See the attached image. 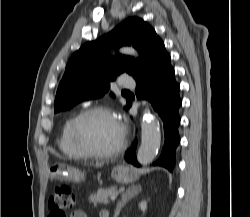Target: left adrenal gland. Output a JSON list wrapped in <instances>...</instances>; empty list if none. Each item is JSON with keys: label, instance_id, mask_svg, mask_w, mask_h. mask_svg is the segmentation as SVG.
Segmentation results:
<instances>
[{"label": "left adrenal gland", "instance_id": "left-adrenal-gland-1", "mask_svg": "<svg viewBox=\"0 0 250 217\" xmlns=\"http://www.w3.org/2000/svg\"><path fill=\"white\" fill-rule=\"evenodd\" d=\"M141 192V186H131L121 195V200L117 203L114 217H118L125 204Z\"/></svg>", "mask_w": 250, "mask_h": 217}]
</instances>
